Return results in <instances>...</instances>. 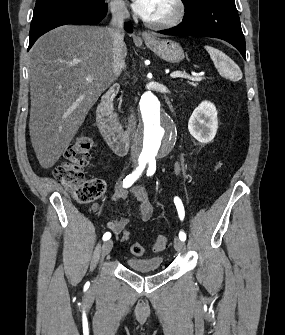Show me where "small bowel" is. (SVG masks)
<instances>
[{"label":"small bowel","instance_id":"c3829d8e","mask_svg":"<svg viewBox=\"0 0 285 335\" xmlns=\"http://www.w3.org/2000/svg\"><path fill=\"white\" fill-rule=\"evenodd\" d=\"M179 169V167H178ZM129 195L133 196L138 204V221L139 222H147L152 216V206L149 199V196L146 190L142 186H134L130 191L125 190L123 187V182L119 181L115 187L114 194L112 196V202L117 203L123 201L129 197ZM98 209V205L94 204L91 207V211H96ZM128 224V219L126 217H117L107 222V227L111 230L115 235H118L122 232V230Z\"/></svg>","mask_w":285,"mask_h":335}]
</instances>
